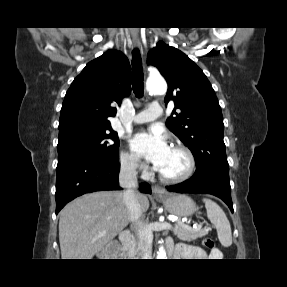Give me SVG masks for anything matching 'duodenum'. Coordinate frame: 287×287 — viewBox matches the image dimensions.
<instances>
[{"label": "duodenum", "instance_id": "1", "mask_svg": "<svg viewBox=\"0 0 287 287\" xmlns=\"http://www.w3.org/2000/svg\"><path fill=\"white\" fill-rule=\"evenodd\" d=\"M118 241H119V244H118V247H117V250H116L118 255H120L122 257H125V258H131L132 257V252H131V233L128 230H123L120 233V235H119ZM168 251H169V255L171 257H173L169 248H168ZM107 252L109 254H113L110 249H107Z\"/></svg>", "mask_w": 287, "mask_h": 287}]
</instances>
